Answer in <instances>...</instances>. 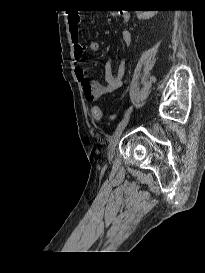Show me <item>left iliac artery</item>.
Instances as JSON below:
<instances>
[{
	"instance_id": "left-iliac-artery-1",
	"label": "left iliac artery",
	"mask_w": 205,
	"mask_h": 273,
	"mask_svg": "<svg viewBox=\"0 0 205 273\" xmlns=\"http://www.w3.org/2000/svg\"><path fill=\"white\" fill-rule=\"evenodd\" d=\"M132 110H133V106H130V107L127 109V111L125 112L124 117L128 116V115L132 112Z\"/></svg>"
}]
</instances>
